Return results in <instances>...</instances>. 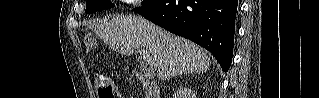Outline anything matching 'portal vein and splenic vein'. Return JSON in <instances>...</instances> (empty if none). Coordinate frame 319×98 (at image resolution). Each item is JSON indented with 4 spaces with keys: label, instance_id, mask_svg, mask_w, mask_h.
<instances>
[{
    "label": "portal vein and splenic vein",
    "instance_id": "18ae733b",
    "mask_svg": "<svg viewBox=\"0 0 319 98\" xmlns=\"http://www.w3.org/2000/svg\"><path fill=\"white\" fill-rule=\"evenodd\" d=\"M139 52L143 56V58L148 62L149 65H155V60L151 57V54L147 50L141 48Z\"/></svg>",
    "mask_w": 319,
    "mask_h": 98
}]
</instances>
